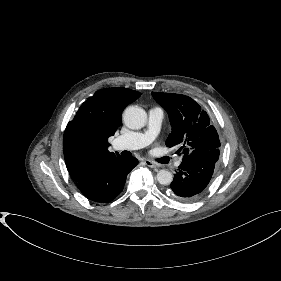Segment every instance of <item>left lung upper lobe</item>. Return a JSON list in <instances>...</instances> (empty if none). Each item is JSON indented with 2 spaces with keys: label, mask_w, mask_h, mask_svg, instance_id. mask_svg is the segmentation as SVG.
Returning <instances> with one entry per match:
<instances>
[{
  "label": "left lung upper lobe",
  "mask_w": 281,
  "mask_h": 281,
  "mask_svg": "<svg viewBox=\"0 0 281 281\" xmlns=\"http://www.w3.org/2000/svg\"><path fill=\"white\" fill-rule=\"evenodd\" d=\"M153 98L167 111L172 131L168 147L179 146L177 153L186 158L196 149H219L220 141L205 111L190 97L152 92Z\"/></svg>",
  "instance_id": "1"
}]
</instances>
